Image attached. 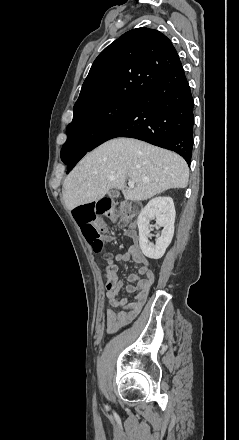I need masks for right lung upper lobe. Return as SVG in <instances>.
<instances>
[{"mask_svg": "<svg viewBox=\"0 0 239 440\" xmlns=\"http://www.w3.org/2000/svg\"><path fill=\"white\" fill-rule=\"evenodd\" d=\"M180 62L171 41L161 32L137 28L120 36L95 59L74 114L107 99L138 98Z\"/></svg>", "mask_w": 239, "mask_h": 440, "instance_id": "obj_1", "label": "right lung upper lobe"}]
</instances>
